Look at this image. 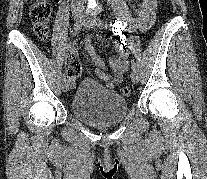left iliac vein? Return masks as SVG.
Instances as JSON below:
<instances>
[{
  "mask_svg": "<svg viewBox=\"0 0 207 179\" xmlns=\"http://www.w3.org/2000/svg\"><path fill=\"white\" fill-rule=\"evenodd\" d=\"M98 19L99 18H97L96 16L89 17L86 13H84L83 25L89 29H92L96 25V22L98 21ZM131 80L133 83H138L139 74H138L137 69H132Z\"/></svg>",
  "mask_w": 207,
  "mask_h": 179,
  "instance_id": "1",
  "label": "left iliac vein"
}]
</instances>
